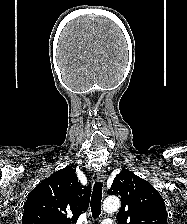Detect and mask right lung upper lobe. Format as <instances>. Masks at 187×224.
I'll list each match as a JSON object with an SVG mask.
<instances>
[{
    "label": "right lung upper lobe",
    "mask_w": 187,
    "mask_h": 224,
    "mask_svg": "<svg viewBox=\"0 0 187 224\" xmlns=\"http://www.w3.org/2000/svg\"><path fill=\"white\" fill-rule=\"evenodd\" d=\"M90 193L91 185L82 186L75 169L56 171L29 193L22 224H70L88 208Z\"/></svg>",
    "instance_id": "1"
}]
</instances>
